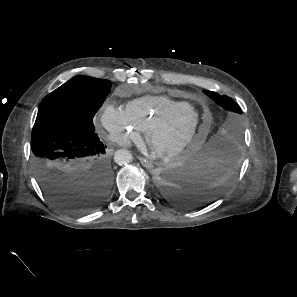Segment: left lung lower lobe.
I'll return each mask as SVG.
<instances>
[{
	"label": "left lung lower lobe",
	"mask_w": 297,
	"mask_h": 297,
	"mask_svg": "<svg viewBox=\"0 0 297 297\" xmlns=\"http://www.w3.org/2000/svg\"><path fill=\"white\" fill-rule=\"evenodd\" d=\"M237 149L212 139L155 174L161 194L171 203L194 208L219 198L231 185Z\"/></svg>",
	"instance_id": "1"
}]
</instances>
